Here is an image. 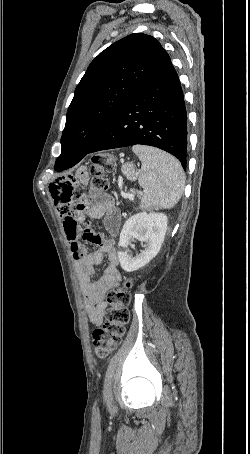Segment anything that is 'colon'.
<instances>
[{"mask_svg":"<svg viewBox=\"0 0 250 454\" xmlns=\"http://www.w3.org/2000/svg\"><path fill=\"white\" fill-rule=\"evenodd\" d=\"M114 157L108 153L95 154L91 159L92 177L90 195L101 196L108 189L106 174L111 171ZM133 280L126 278L121 286L107 293L109 308L104 324L93 331L94 352L100 359L108 357L120 344L129 321L128 306L131 300Z\"/></svg>","mask_w":250,"mask_h":454,"instance_id":"colon-1","label":"colon"}]
</instances>
